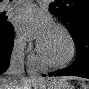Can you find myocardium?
<instances>
[{
    "mask_svg": "<svg viewBox=\"0 0 89 89\" xmlns=\"http://www.w3.org/2000/svg\"><path fill=\"white\" fill-rule=\"evenodd\" d=\"M54 27L60 30L68 40V43H69L68 57L61 62H51L44 56L42 49H41V45L39 43H37L36 50H37L38 60L40 61L42 66L46 68H51V69H59V68L68 66L73 61L75 54H76V44H75L72 34L64 25L57 23V24H54Z\"/></svg>",
    "mask_w": 89,
    "mask_h": 89,
    "instance_id": "myocardium-1",
    "label": "myocardium"
}]
</instances>
